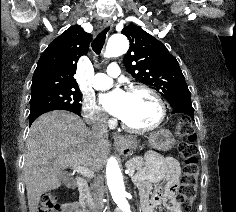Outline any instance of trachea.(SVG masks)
Instances as JSON below:
<instances>
[{"label": "trachea", "mask_w": 236, "mask_h": 212, "mask_svg": "<svg viewBox=\"0 0 236 212\" xmlns=\"http://www.w3.org/2000/svg\"><path fill=\"white\" fill-rule=\"evenodd\" d=\"M109 28H105L103 31H101L96 38L92 42V49L96 54H100L101 50L104 46L105 39H106V33L108 32Z\"/></svg>", "instance_id": "3493384b"}]
</instances>
